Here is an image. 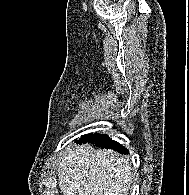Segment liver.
Wrapping results in <instances>:
<instances>
[{
  "mask_svg": "<svg viewBox=\"0 0 189 195\" xmlns=\"http://www.w3.org/2000/svg\"><path fill=\"white\" fill-rule=\"evenodd\" d=\"M63 195H126L131 185V166L111 150L82 145L67 148L57 171Z\"/></svg>",
  "mask_w": 189,
  "mask_h": 195,
  "instance_id": "6515ba94",
  "label": "liver"
}]
</instances>
